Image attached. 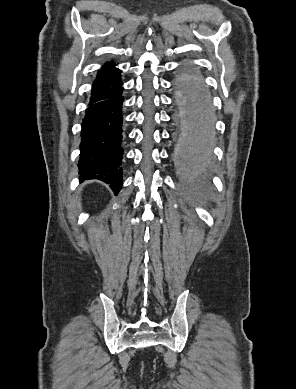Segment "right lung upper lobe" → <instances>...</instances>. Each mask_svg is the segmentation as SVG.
Returning <instances> with one entry per match:
<instances>
[{"label": "right lung upper lobe", "instance_id": "cb5924a9", "mask_svg": "<svg viewBox=\"0 0 296 389\" xmlns=\"http://www.w3.org/2000/svg\"><path fill=\"white\" fill-rule=\"evenodd\" d=\"M120 72L113 62L106 63L97 73L96 80L92 85L90 101L102 98L120 88L122 86Z\"/></svg>", "mask_w": 296, "mask_h": 389}]
</instances>
